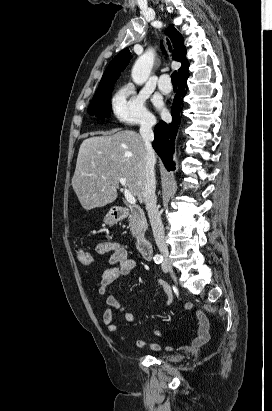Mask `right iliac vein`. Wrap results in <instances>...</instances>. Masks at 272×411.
<instances>
[{
	"mask_svg": "<svg viewBox=\"0 0 272 411\" xmlns=\"http://www.w3.org/2000/svg\"><path fill=\"white\" fill-rule=\"evenodd\" d=\"M167 267H168V272H169V274L171 275V277H172L174 280H176V277H175V274H174L172 268H171L170 266H168V265H167Z\"/></svg>",
	"mask_w": 272,
	"mask_h": 411,
	"instance_id": "63e3f726",
	"label": "right iliac vein"
}]
</instances>
